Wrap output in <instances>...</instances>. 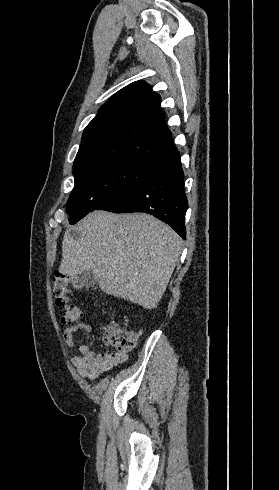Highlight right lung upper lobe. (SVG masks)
<instances>
[{
	"mask_svg": "<svg viewBox=\"0 0 279 490\" xmlns=\"http://www.w3.org/2000/svg\"><path fill=\"white\" fill-rule=\"evenodd\" d=\"M160 100L144 81L118 91L85 128L74 170L108 159L156 163L174 151Z\"/></svg>",
	"mask_w": 279,
	"mask_h": 490,
	"instance_id": "1",
	"label": "right lung upper lobe"
}]
</instances>
